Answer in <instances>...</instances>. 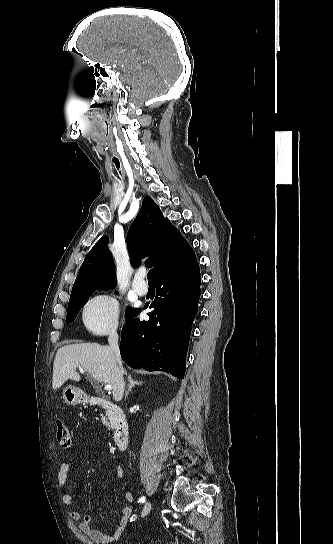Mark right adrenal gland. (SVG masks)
I'll use <instances>...</instances> for the list:
<instances>
[{
  "label": "right adrenal gland",
  "mask_w": 333,
  "mask_h": 544,
  "mask_svg": "<svg viewBox=\"0 0 333 544\" xmlns=\"http://www.w3.org/2000/svg\"><path fill=\"white\" fill-rule=\"evenodd\" d=\"M128 381H129V386H128V390L125 393V397L128 396V394L131 392L132 388L135 385H142L143 384V382H139V381L134 380L131 375L128 376Z\"/></svg>",
  "instance_id": "right-adrenal-gland-1"
}]
</instances>
